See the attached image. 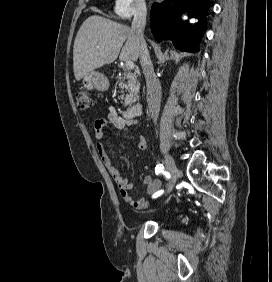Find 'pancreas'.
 Listing matches in <instances>:
<instances>
[{"instance_id": "pancreas-1", "label": "pancreas", "mask_w": 272, "mask_h": 282, "mask_svg": "<svg viewBox=\"0 0 272 282\" xmlns=\"http://www.w3.org/2000/svg\"><path fill=\"white\" fill-rule=\"evenodd\" d=\"M117 83L119 84L120 88L127 92L125 96L121 95V100H124V105H132L138 95L139 90V81L137 80V77L128 72L125 74L124 78L119 79Z\"/></svg>"}]
</instances>
